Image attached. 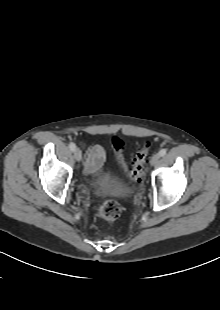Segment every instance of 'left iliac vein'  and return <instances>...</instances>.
<instances>
[{
  "label": "left iliac vein",
  "instance_id": "4c4485c4",
  "mask_svg": "<svg viewBox=\"0 0 220 310\" xmlns=\"http://www.w3.org/2000/svg\"><path fill=\"white\" fill-rule=\"evenodd\" d=\"M159 160H160V155L159 154H155V155L152 156L150 164L152 166H155V165L158 164Z\"/></svg>",
  "mask_w": 220,
  "mask_h": 310
}]
</instances>
